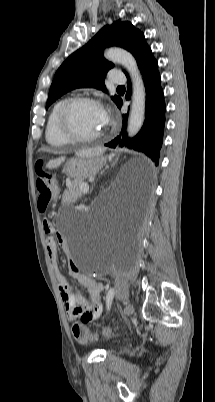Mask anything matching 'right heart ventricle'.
<instances>
[{
  "instance_id": "1",
  "label": "right heart ventricle",
  "mask_w": 215,
  "mask_h": 402,
  "mask_svg": "<svg viewBox=\"0 0 215 402\" xmlns=\"http://www.w3.org/2000/svg\"><path fill=\"white\" fill-rule=\"evenodd\" d=\"M65 100L57 101L51 108L47 118L45 137L48 144L54 147H62L70 144V141L60 133L57 126L58 111Z\"/></svg>"
}]
</instances>
